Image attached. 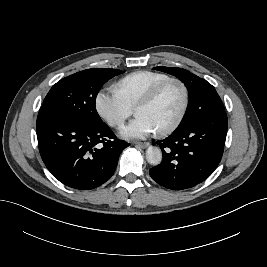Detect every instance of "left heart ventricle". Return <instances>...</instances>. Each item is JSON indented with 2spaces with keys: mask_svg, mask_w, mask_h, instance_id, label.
Masks as SVG:
<instances>
[{
  "mask_svg": "<svg viewBox=\"0 0 267 267\" xmlns=\"http://www.w3.org/2000/svg\"><path fill=\"white\" fill-rule=\"evenodd\" d=\"M183 104V92L177 83H169L150 105L137 109V115L146 116L156 131L172 124L180 113Z\"/></svg>",
  "mask_w": 267,
  "mask_h": 267,
  "instance_id": "left-heart-ventricle-1",
  "label": "left heart ventricle"
}]
</instances>
